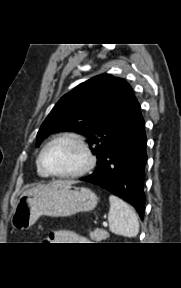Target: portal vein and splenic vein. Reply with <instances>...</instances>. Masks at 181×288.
I'll use <instances>...</instances> for the list:
<instances>
[{"instance_id":"18ae733b","label":"portal vein and splenic vein","mask_w":181,"mask_h":288,"mask_svg":"<svg viewBox=\"0 0 181 288\" xmlns=\"http://www.w3.org/2000/svg\"><path fill=\"white\" fill-rule=\"evenodd\" d=\"M107 225H108V224H107L106 222H103V226H104V227H107Z\"/></svg>"}]
</instances>
